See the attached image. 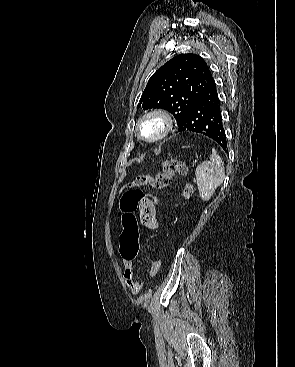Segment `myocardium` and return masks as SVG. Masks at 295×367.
<instances>
[{"instance_id":"1","label":"myocardium","mask_w":295,"mask_h":367,"mask_svg":"<svg viewBox=\"0 0 295 367\" xmlns=\"http://www.w3.org/2000/svg\"><path fill=\"white\" fill-rule=\"evenodd\" d=\"M152 120L158 121L161 125V128L156 135L152 137H146L142 134V126L143 124ZM173 126V118L169 112L163 109H152L145 112L139 118L136 124V133L142 141L147 143H156L166 138L173 130Z\"/></svg>"}]
</instances>
